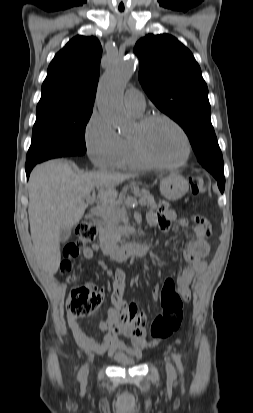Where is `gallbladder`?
I'll return each mask as SVG.
<instances>
[{
    "label": "gallbladder",
    "instance_id": "obj_1",
    "mask_svg": "<svg viewBox=\"0 0 253 413\" xmlns=\"http://www.w3.org/2000/svg\"><path fill=\"white\" fill-rule=\"evenodd\" d=\"M71 232H72L71 228H62L59 233V242L60 243L66 242L69 239Z\"/></svg>",
    "mask_w": 253,
    "mask_h": 413
}]
</instances>
